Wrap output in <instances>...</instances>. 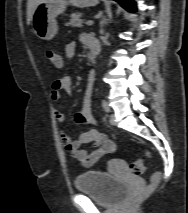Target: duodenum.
Instances as JSON below:
<instances>
[{"mask_svg":"<svg viewBox=\"0 0 188 213\" xmlns=\"http://www.w3.org/2000/svg\"><path fill=\"white\" fill-rule=\"evenodd\" d=\"M88 46L90 48V58L92 61H95L100 48L98 40L90 36L88 40ZM93 80H94V75H91V81Z\"/></svg>","mask_w":188,"mask_h":213,"instance_id":"obj_1","label":"duodenum"}]
</instances>
